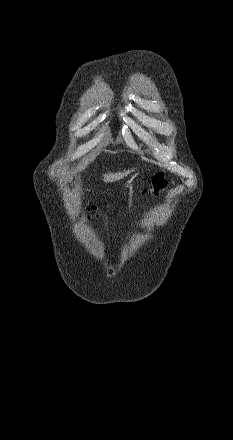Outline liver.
I'll use <instances>...</instances> for the list:
<instances>
[{"label": "liver", "mask_w": 233, "mask_h": 440, "mask_svg": "<svg viewBox=\"0 0 233 440\" xmlns=\"http://www.w3.org/2000/svg\"><path fill=\"white\" fill-rule=\"evenodd\" d=\"M129 173V171L123 172V173H109V174H105L104 175V181L105 182H112V181H116L118 179L123 178L124 176H126Z\"/></svg>", "instance_id": "liver-1"}]
</instances>
